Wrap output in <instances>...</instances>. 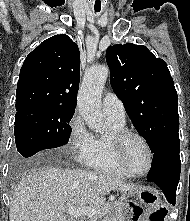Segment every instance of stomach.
Here are the masks:
<instances>
[{
  "mask_svg": "<svg viewBox=\"0 0 190 221\" xmlns=\"http://www.w3.org/2000/svg\"><path fill=\"white\" fill-rule=\"evenodd\" d=\"M136 200H122L123 212L130 217H170L158 194L150 189H140L133 192ZM119 221H168L167 218H119Z\"/></svg>",
  "mask_w": 190,
  "mask_h": 221,
  "instance_id": "obj_1",
  "label": "stomach"
}]
</instances>
